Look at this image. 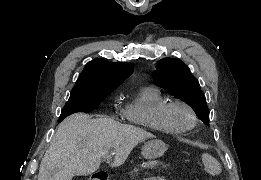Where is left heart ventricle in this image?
I'll list each match as a JSON object with an SVG mask.
<instances>
[{"label": "left heart ventricle", "instance_id": "left-heart-ventricle-1", "mask_svg": "<svg viewBox=\"0 0 261 180\" xmlns=\"http://www.w3.org/2000/svg\"><path fill=\"white\" fill-rule=\"evenodd\" d=\"M168 116L175 122H183L186 120V113L179 108H172L168 112Z\"/></svg>", "mask_w": 261, "mask_h": 180}]
</instances>
